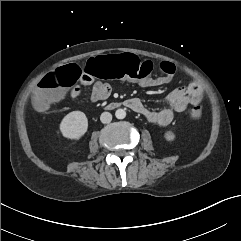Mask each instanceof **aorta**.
<instances>
[{
    "label": "aorta",
    "instance_id": "1",
    "mask_svg": "<svg viewBox=\"0 0 241 241\" xmlns=\"http://www.w3.org/2000/svg\"><path fill=\"white\" fill-rule=\"evenodd\" d=\"M115 116L117 119H124L126 117V111L124 109H117Z\"/></svg>",
    "mask_w": 241,
    "mask_h": 241
}]
</instances>
